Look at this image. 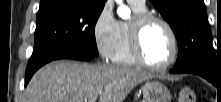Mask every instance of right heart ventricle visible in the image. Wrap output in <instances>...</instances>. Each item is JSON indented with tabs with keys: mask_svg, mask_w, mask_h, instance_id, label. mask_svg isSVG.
Instances as JSON below:
<instances>
[{
	"mask_svg": "<svg viewBox=\"0 0 221 102\" xmlns=\"http://www.w3.org/2000/svg\"><path fill=\"white\" fill-rule=\"evenodd\" d=\"M131 7L136 15L146 13L145 7H137L133 4H131ZM129 26L130 22L127 21L119 22V38H118L117 47L112 57V60L115 63L124 66H132L137 64L131 52Z\"/></svg>",
	"mask_w": 221,
	"mask_h": 102,
	"instance_id": "obj_1",
	"label": "right heart ventricle"
}]
</instances>
